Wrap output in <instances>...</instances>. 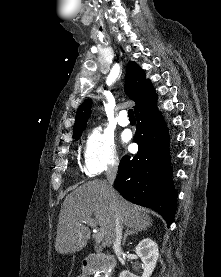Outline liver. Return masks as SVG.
<instances>
[{
    "mask_svg": "<svg viewBox=\"0 0 221 277\" xmlns=\"http://www.w3.org/2000/svg\"><path fill=\"white\" fill-rule=\"evenodd\" d=\"M112 205L118 211L121 225L131 230H147L152 219L147 211L124 200L108 184L94 180L87 182L64 200L59 214L55 249L59 254H72L82 250L90 239V229L83 221L95 217L99 230L104 232L108 245L114 240Z\"/></svg>",
    "mask_w": 221,
    "mask_h": 277,
    "instance_id": "obj_1",
    "label": "liver"
}]
</instances>
